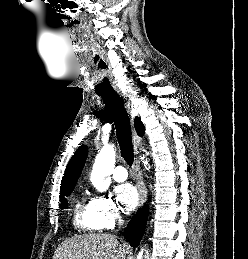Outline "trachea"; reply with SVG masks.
<instances>
[{"instance_id":"obj_1","label":"trachea","mask_w":248,"mask_h":259,"mask_svg":"<svg viewBox=\"0 0 248 259\" xmlns=\"http://www.w3.org/2000/svg\"><path fill=\"white\" fill-rule=\"evenodd\" d=\"M98 95L103 98L114 121L121 155L128 165H132L134 155L131 125L123 102L115 91L100 93Z\"/></svg>"}]
</instances>
